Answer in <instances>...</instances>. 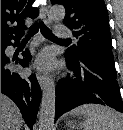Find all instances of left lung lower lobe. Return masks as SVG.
I'll return each mask as SVG.
<instances>
[{
  "instance_id": "left-lung-lower-lobe-1",
  "label": "left lung lower lobe",
  "mask_w": 123,
  "mask_h": 130,
  "mask_svg": "<svg viewBox=\"0 0 123 130\" xmlns=\"http://www.w3.org/2000/svg\"><path fill=\"white\" fill-rule=\"evenodd\" d=\"M65 57L76 78L58 81L55 121L64 113L88 103L108 105L123 113L114 65L98 59H77L66 54Z\"/></svg>"
}]
</instances>
